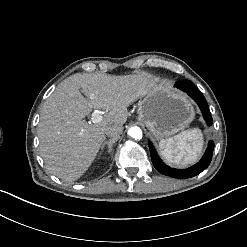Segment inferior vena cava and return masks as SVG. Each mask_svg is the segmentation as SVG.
Listing matches in <instances>:
<instances>
[{
  "label": "inferior vena cava",
  "instance_id": "602c4592",
  "mask_svg": "<svg viewBox=\"0 0 247 247\" xmlns=\"http://www.w3.org/2000/svg\"><path fill=\"white\" fill-rule=\"evenodd\" d=\"M124 127L122 124H110L105 128V134L114 140H117L122 134Z\"/></svg>",
  "mask_w": 247,
  "mask_h": 247
}]
</instances>
